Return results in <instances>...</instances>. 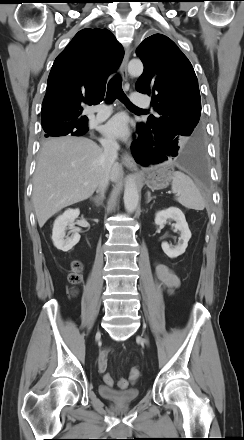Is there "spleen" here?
I'll list each match as a JSON object with an SVG mask.
<instances>
[{"mask_svg": "<svg viewBox=\"0 0 244 440\" xmlns=\"http://www.w3.org/2000/svg\"><path fill=\"white\" fill-rule=\"evenodd\" d=\"M172 191L177 194L176 201L188 209L204 210L205 200L190 177L182 172L172 174Z\"/></svg>", "mask_w": 244, "mask_h": 440, "instance_id": "obj_1", "label": "spleen"}]
</instances>
